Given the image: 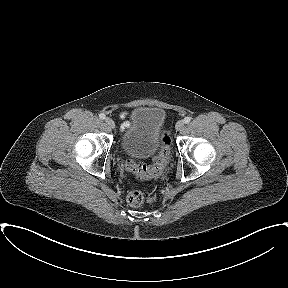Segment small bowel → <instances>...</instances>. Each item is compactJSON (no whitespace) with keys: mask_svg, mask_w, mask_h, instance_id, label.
Returning a JSON list of instances; mask_svg holds the SVG:
<instances>
[{"mask_svg":"<svg viewBox=\"0 0 288 288\" xmlns=\"http://www.w3.org/2000/svg\"><path fill=\"white\" fill-rule=\"evenodd\" d=\"M126 114L125 113H122L121 114V118H125ZM125 126H127V122L124 124Z\"/></svg>","mask_w":288,"mask_h":288,"instance_id":"c3829d8e","label":"small bowel"}]
</instances>
